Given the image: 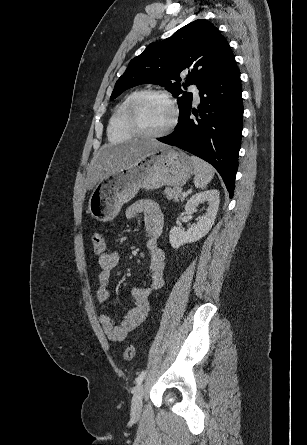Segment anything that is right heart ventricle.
<instances>
[{
    "label": "right heart ventricle",
    "instance_id": "e07e8e85",
    "mask_svg": "<svg viewBox=\"0 0 307 445\" xmlns=\"http://www.w3.org/2000/svg\"><path fill=\"white\" fill-rule=\"evenodd\" d=\"M142 93L140 89L133 91L111 115L108 125V136L111 140L135 139V133L129 121V111L134 100Z\"/></svg>",
    "mask_w": 307,
    "mask_h": 445
}]
</instances>
